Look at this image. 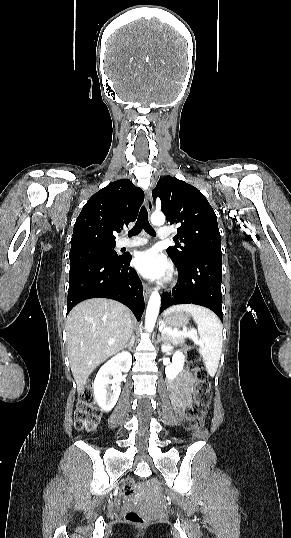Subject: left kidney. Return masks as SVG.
Wrapping results in <instances>:
<instances>
[{"mask_svg": "<svg viewBox=\"0 0 291 538\" xmlns=\"http://www.w3.org/2000/svg\"><path fill=\"white\" fill-rule=\"evenodd\" d=\"M161 349L162 352L168 353L173 349V347L169 344H164L162 345ZM184 361L185 355L181 351L174 353L172 363L165 368V374L169 380L175 379L176 376L183 370Z\"/></svg>", "mask_w": 291, "mask_h": 538, "instance_id": "left-kidney-1", "label": "left kidney"}]
</instances>
